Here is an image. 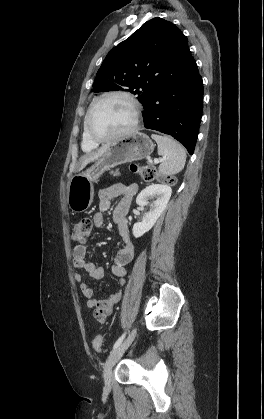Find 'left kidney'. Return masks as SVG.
I'll list each match as a JSON object with an SVG mask.
<instances>
[{"label":"left kidney","instance_id":"left-kidney-1","mask_svg":"<svg viewBox=\"0 0 264 419\" xmlns=\"http://www.w3.org/2000/svg\"><path fill=\"white\" fill-rule=\"evenodd\" d=\"M172 189L165 184H151L143 189L136 198V203L139 206H146L148 200L156 198L151 203L150 210L145 214L141 222L135 223L132 229L135 238L141 237L148 232L156 223L160 215L165 210L167 203L171 197Z\"/></svg>","mask_w":264,"mask_h":419}]
</instances>
